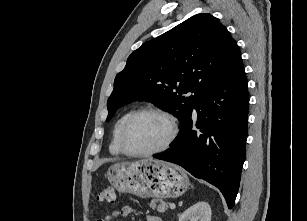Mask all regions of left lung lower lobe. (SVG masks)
<instances>
[{"label": "left lung lower lobe", "instance_id": "1", "mask_svg": "<svg viewBox=\"0 0 307 221\" xmlns=\"http://www.w3.org/2000/svg\"><path fill=\"white\" fill-rule=\"evenodd\" d=\"M248 105L247 80L239 56L222 80L196 104L199 130H193L191 113L172 146L154 157L180 165L216 186L231 209L245 158Z\"/></svg>", "mask_w": 307, "mask_h": 221}]
</instances>
